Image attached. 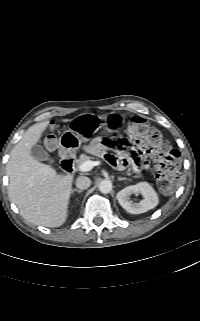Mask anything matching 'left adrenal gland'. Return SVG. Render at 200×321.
I'll use <instances>...</instances> for the list:
<instances>
[{"mask_svg":"<svg viewBox=\"0 0 200 321\" xmlns=\"http://www.w3.org/2000/svg\"><path fill=\"white\" fill-rule=\"evenodd\" d=\"M118 180H119V181H121V180H127V178H121V177H119Z\"/></svg>","mask_w":200,"mask_h":321,"instance_id":"1","label":"left adrenal gland"}]
</instances>
